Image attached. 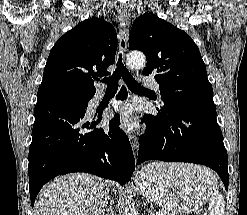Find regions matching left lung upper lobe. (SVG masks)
<instances>
[{
	"instance_id": "left-lung-upper-lobe-1",
	"label": "left lung upper lobe",
	"mask_w": 247,
	"mask_h": 215,
	"mask_svg": "<svg viewBox=\"0 0 247 215\" xmlns=\"http://www.w3.org/2000/svg\"><path fill=\"white\" fill-rule=\"evenodd\" d=\"M129 48L145 53L144 75L156 74L163 100L159 109L172 111L184 106L216 109L205 63L197 45L184 31L153 13H145L132 25Z\"/></svg>"
}]
</instances>
